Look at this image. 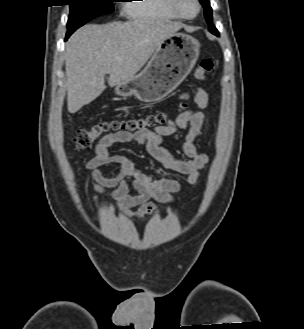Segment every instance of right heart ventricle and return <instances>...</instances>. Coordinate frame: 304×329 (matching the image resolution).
<instances>
[{"label":"right heart ventricle","instance_id":"right-heart-ventricle-1","mask_svg":"<svg viewBox=\"0 0 304 329\" xmlns=\"http://www.w3.org/2000/svg\"><path fill=\"white\" fill-rule=\"evenodd\" d=\"M125 9L134 19L158 21L178 19L168 8L166 0H131L130 3L125 4Z\"/></svg>","mask_w":304,"mask_h":329}]
</instances>
